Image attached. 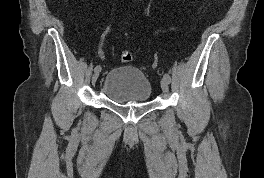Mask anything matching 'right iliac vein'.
<instances>
[{
  "instance_id": "1",
  "label": "right iliac vein",
  "mask_w": 264,
  "mask_h": 178,
  "mask_svg": "<svg viewBox=\"0 0 264 178\" xmlns=\"http://www.w3.org/2000/svg\"><path fill=\"white\" fill-rule=\"evenodd\" d=\"M99 77V72H95L92 77V83L95 84Z\"/></svg>"
}]
</instances>
